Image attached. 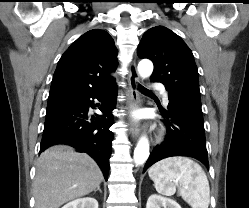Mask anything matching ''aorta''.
<instances>
[{
	"label": "aorta",
	"instance_id": "aorta-1",
	"mask_svg": "<svg viewBox=\"0 0 249 208\" xmlns=\"http://www.w3.org/2000/svg\"><path fill=\"white\" fill-rule=\"evenodd\" d=\"M138 72L141 77L146 78L149 77L153 72V64L148 59H143L138 64ZM149 157V141L147 137L142 136L137 146L134 150V162L136 165L143 164Z\"/></svg>",
	"mask_w": 249,
	"mask_h": 208
}]
</instances>
